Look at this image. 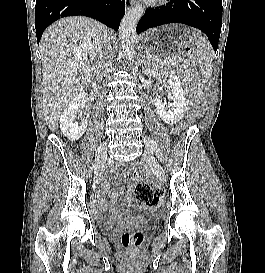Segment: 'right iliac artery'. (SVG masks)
<instances>
[{"label": "right iliac artery", "instance_id": "obj_1", "mask_svg": "<svg viewBox=\"0 0 265 273\" xmlns=\"http://www.w3.org/2000/svg\"><path fill=\"white\" fill-rule=\"evenodd\" d=\"M94 169V165L91 167V171Z\"/></svg>", "mask_w": 265, "mask_h": 273}]
</instances>
